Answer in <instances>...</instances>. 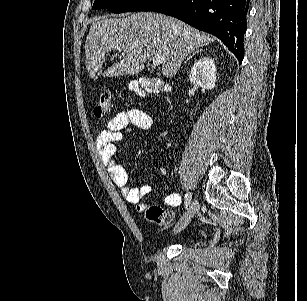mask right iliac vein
<instances>
[{"mask_svg":"<svg viewBox=\"0 0 307 301\" xmlns=\"http://www.w3.org/2000/svg\"><path fill=\"white\" fill-rule=\"evenodd\" d=\"M198 208H199L198 201L193 200L190 207L188 208V210L186 211V213L184 214V216L180 220V222L174 228L173 232L174 233H180L182 230H184L188 226V224L190 223L192 218L194 217Z\"/></svg>","mask_w":307,"mask_h":301,"instance_id":"1","label":"right iliac vein"}]
</instances>
